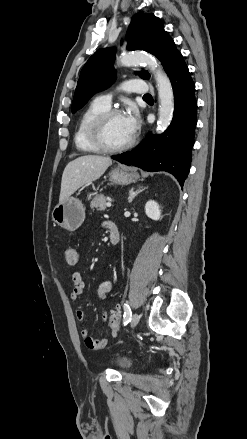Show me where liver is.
Instances as JSON below:
<instances>
[{
  "mask_svg": "<svg viewBox=\"0 0 247 439\" xmlns=\"http://www.w3.org/2000/svg\"><path fill=\"white\" fill-rule=\"evenodd\" d=\"M111 164L109 157L98 155H85L69 162L62 175L59 203L81 186L99 179Z\"/></svg>",
  "mask_w": 247,
  "mask_h": 439,
  "instance_id": "liver-1",
  "label": "liver"
}]
</instances>
